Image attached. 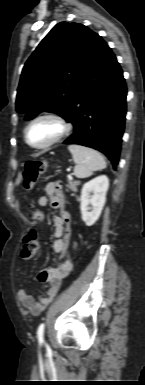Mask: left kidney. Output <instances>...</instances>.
<instances>
[{
    "label": "left kidney",
    "instance_id": "left-kidney-1",
    "mask_svg": "<svg viewBox=\"0 0 145 385\" xmlns=\"http://www.w3.org/2000/svg\"><path fill=\"white\" fill-rule=\"evenodd\" d=\"M108 188L109 179L105 175L98 176L84 184L80 197V210L82 220L87 226H92L99 219Z\"/></svg>",
    "mask_w": 145,
    "mask_h": 385
}]
</instances>
